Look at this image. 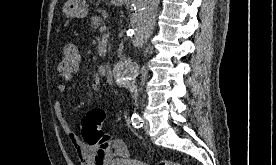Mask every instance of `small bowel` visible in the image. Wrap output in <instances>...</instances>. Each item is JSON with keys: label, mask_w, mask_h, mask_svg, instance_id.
Wrapping results in <instances>:
<instances>
[{"label": "small bowel", "mask_w": 276, "mask_h": 165, "mask_svg": "<svg viewBox=\"0 0 276 165\" xmlns=\"http://www.w3.org/2000/svg\"><path fill=\"white\" fill-rule=\"evenodd\" d=\"M62 78L64 81H69L71 80L72 76H64ZM57 90L60 93H64L66 91V86L61 83L57 86ZM53 109L63 132L65 133L71 145L74 147L81 165H109L113 160H115V158H123L126 156V148L121 140H118V143L125 150V155L122 157H119L114 153L102 154L98 151L97 148L84 143L76 135L73 128L67 121L62 105L59 101H54Z\"/></svg>", "instance_id": "c3829d8e"}]
</instances>
